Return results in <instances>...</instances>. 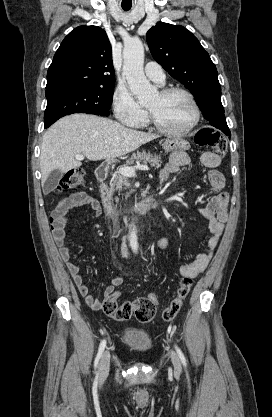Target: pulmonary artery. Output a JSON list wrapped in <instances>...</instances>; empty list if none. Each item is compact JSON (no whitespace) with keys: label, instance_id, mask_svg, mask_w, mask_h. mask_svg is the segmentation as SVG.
<instances>
[{"label":"pulmonary artery","instance_id":"obj_1","mask_svg":"<svg viewBox=\"0 0 272 417\" xmlns=\"http://www.w3.org/2000/svg\"><path fill=\"white\" fill-rule=\"evenodd\" d=\"M147 78L158 85L162 86L165 82V74L162 67L156 62H149L145 66Z\"/></svg>","mask_w":272,"mask_h":417}]
</instances>
